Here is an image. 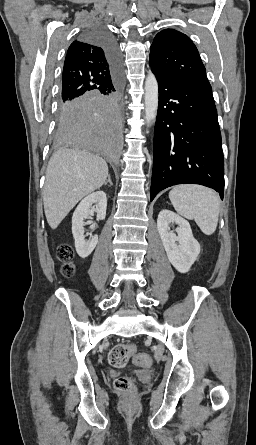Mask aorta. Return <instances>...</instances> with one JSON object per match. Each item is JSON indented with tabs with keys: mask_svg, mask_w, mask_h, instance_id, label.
<instances>
[{
	"mask_svg": "<svg viewBox=\"0 0 256 445\" xmlns=\"http://www.w3.org/2000/svg\"><path fill=\"white\" fill-rule=\"evenodd\" d=\"M145 121L149 127L156 119L158 110V83L153 73H148L145 80Z\"/></svg>",
	"mask_w": 256,
	"mask_h": 445,
	"instance_id": "762f6f07",
	"label": "aorta"
}]
</instances>
